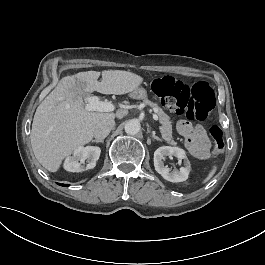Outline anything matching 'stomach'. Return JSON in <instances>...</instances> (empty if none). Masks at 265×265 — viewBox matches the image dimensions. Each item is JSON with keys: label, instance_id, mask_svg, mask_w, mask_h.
Masks as SVG:
<instances>
[{"label": "stomach", "instance_id": "1", "mask_svg": "<svg viewBox=\"0 0 265 265\" xmlns=\"http://www.w3.org/2000/svg\"><path fill=\"white\" fill-rule=\"evenodd\" d=\"M129 96L133 99H146L147 93L146 90L143 88H135Z\"/></svg>", "mask_w": 265, "mask_h": 265}]
</instances>
